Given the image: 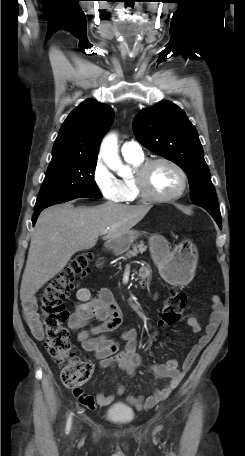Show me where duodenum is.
<instances>
[{"instance_id": "1", "label": "duodenum", "mask_w": 245, "mask_h": 456, "mask_svg": "<svg viewBox=\"0 0 245 456\" xmlns=\"http://www.w3.org/2000/svg\"><path fill=\"white\" fill-rule=\"evenodd\" d=\"M118 243L116 241H110L107 243L106 245V250L107 251H112L113 249H115L117 247Z\"/></svg>"}]
</instances>
